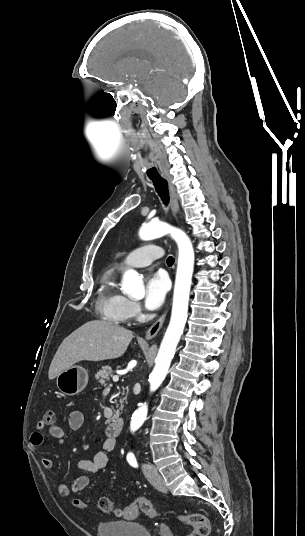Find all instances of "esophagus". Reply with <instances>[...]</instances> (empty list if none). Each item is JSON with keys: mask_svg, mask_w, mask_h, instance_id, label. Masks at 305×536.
<instances>
[{"mask_svg": "<svg viewBox=\"0 0 305 536\" xmlns=\"http://www.w3.org/2000/svg\"><path fill=\"white\" fill-rule=\"evenodd\" d=\"M163 178L167 180L168 186H169V193L171 198V208L173 211V214L176 215L179 211V203L177 199V195L175 193L174 185L172 183V178L169 175H164ZM166 313H164L160 318H158L153 325L147 330V333L145 335L146 340H150L154 338V336L157 335V333L160 331V328H162V325L165 321Z\"/></svg>", "mask_w": 305, "mask_h": 536, "instance_id": "obj_1", "label": "esophagus"}]
</instances>
